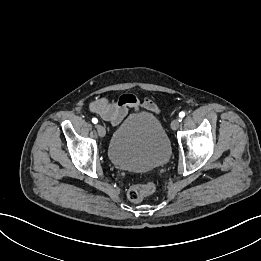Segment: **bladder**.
Masks as SVG:
<instances>
[{
    "label": "bladder",
    "mask_w": 261,
    "mask_h": 261,
    "mask_svg": "<svg viewBox=\"0 0 261 261\" xmlns=\"http://www.w3.org/2000/svg\"><path fill=\"white\" fill-rule=\"evenodd\" d=\"M111 163L127 171H148L165 164L171 155V143L161 121L151 113L128 116L109 141Z\"/></svg>",
    "instance_id": "bladder-1"
}]
</instances>
